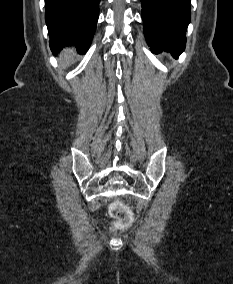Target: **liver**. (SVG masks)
<instances>
[{"label":"liver","instance_id":"liver-1","mask_svg":"<svg viewBox=\"0 0 233 284\" xmlns=\"http://www.w3.org/2000/svg\"><path fill=\"white\" fill-rule=\"evenodd\" d=\"M64 58L66 60H70L72 58V51L71 50H67L64 54Z\"/></svg>","mask_w":233,"mask_h":284}]
</instances>
